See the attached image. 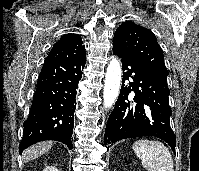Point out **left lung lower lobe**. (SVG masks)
I'll use <instances>...</instances> for the list:
<instances>
[{"label":"left lung lower lobe","mask_w":199,"mask_h":171,"mask_svg":"<svg viewBox=\"0 0 199 171\" xmlns=\"http://www.w3.org/2000/svg\"><path fill=\"white\" fill-rule=\"evenodd\" d=\"M121 58L122 87L105 129V146L126 138L155 136L167 142L175 152L176 136L170 127V90L167 79L136 62L113 46ZM128 84L125 83L126 80Z\"/></svg>","instance_id":"0a47b994"}]
</instances>
